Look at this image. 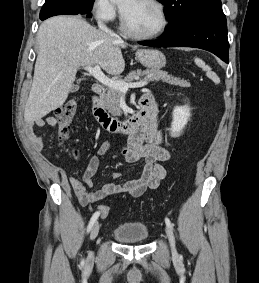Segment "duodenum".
Returning <instances> with one entry per match:
<instances>
[{
    "label": "duodenum",
    "mask_w": 259,
    "mask_h": 283,
    "mask_svg": "<svg viewBox=\"0 0 259 283\" xmlns=\"http://www.w3.org/2000/svg\"><path fill=\"white\" fill-rule=\"evenodd\" d=\"M105 93V87L100 83L93 85L92 111L98 122L109 132L134 135L139 130L149 125L151 119L156 116L157 107L151 96L141 98L137 113L126 120L112 118L101 104V97Z\"/></svg>",
    "instance_id": "1"
}]
</instances>
